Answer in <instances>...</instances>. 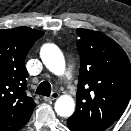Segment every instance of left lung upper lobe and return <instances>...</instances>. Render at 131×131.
<instances>
[{"mask_svg": "<svg viewBox=\"0 0 131 131\" xmlns=\"http://www.w3.org/2000/svg\"><path fill=\"white\" fill-rule=\"evenodd\" d=\"M76 32L81 64L71 118L92 131H104L121 116L131 98V65L109 37L82 28Z\"/></svg>", "mask_w": 131, "mask_h": 131, "instance_id": "1", "label": "left lung upper lobe"}]
</instances>
